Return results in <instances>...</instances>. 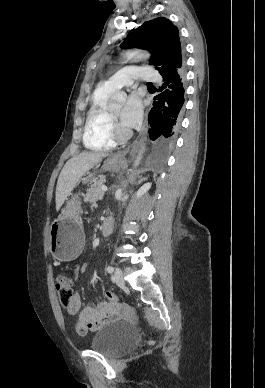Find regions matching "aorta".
Returning <instances> with one entry per match:
<instances>
[{
    "label": "aorta",
    "mask_w": 265,
    "mask_h": 388,
    "mask_svg": "<svg viewBox=\"0 0 265 388\" xmlns=\"http://www.w3.org/2000/svg\"><path fill=\"white\" fill-rule=\"evenodd\" d=\"M123 57L124 58H134L136 60H144V59H147L149 56L147 53H145L143 51L136 50V51L124 53ZM125 98H126V94L124 92H117L112 96V101L114 103L118 104V103H122L125 100ZM144 151H145V147L143 146L141 148V150L139 151L138 156L134 162V167L139 165Z\"/></svg>",
    "instance_id": "obj_1"
}]
</instances>
